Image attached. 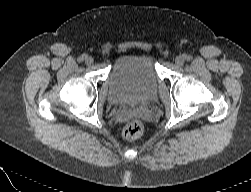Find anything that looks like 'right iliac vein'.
Segmentation results:
<instances>
[{"label":"right iliac vein","instance_id":"1","mask_svg":"<svg viewBox=\"0 0 251 192\" xmlns=\"http://www.w3.org/2000/svg\"><path fill=\"white\" fill-rule=\"evenodd\" d=\"M93 58L91 57V56H86V58H85V63L86 64H88V65H90V64H92L93 63Z\"/></svg>","mask_w":251,"mask_h":192}]
</instances>
